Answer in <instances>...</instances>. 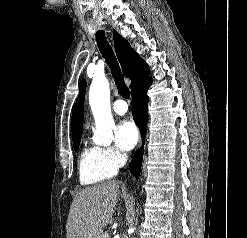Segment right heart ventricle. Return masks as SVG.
Listing matches in <instances>:
<instances>
[{
    "label": "right heart ventricle",
    "mask_w": 247,
    "mask_h": 238,
    "mask_svg": "<svg viewBox=\"0 0 247 238\" xmlns=\"http://www.w3.org/2000/svg\"><path fill=\"white\" fill-rule=\"evenodd\" d=\"M79 179L82 185H94L115 176L117 168L112 166L98 145L86 143L78 160Z\"/></svg>",
    "instance_id": "e07e8e85"
}]
</instances>
